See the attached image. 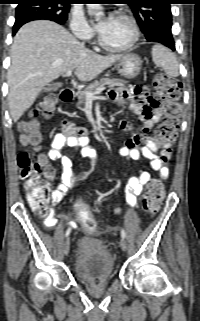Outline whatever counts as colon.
Instances as JSON below:
<instances>
[{"label": "colon", "instance_id": "obj_1", "mask_svg": "<svg viewBox=\"0 0 200 321\" xmlns=\"http://www.w3.org/2000/svg\"><path fill=\"white\" fill-rule=\"evenodd\" d=\"M180 84L165 73H159L154 79V97L163 101L165 120L157 128V137L163 148V153L171 155V146L175 142L179 127V105L177 99L180 96ZM56 106V98L53 95L47 96L39 104V111L42 116L49 118L52 116ZM39 122L35 119L26 121L22 124L23 142L32 146H37L40 140L38 134ZM17 163L20 168V175L23 180L24 189L27 192L28 202L35 213L41 217H48L51 209L47 205L49 189L42 182L43 176H47L49 167L39 156L35 158L27 150L19 152ZM164 187L159 180H151L145 190L142 199L143 209L146 214H155L163 201ZM84 198L79 197L75 205H71V212H76V221L81 222L83 228L88 233L96 230V222L84 206Z\"/></svg>", "mask_w": 200, "mask_h": 321}]
</instances>
